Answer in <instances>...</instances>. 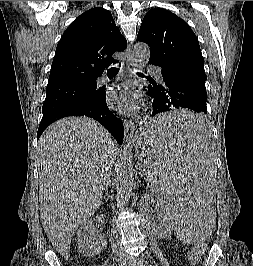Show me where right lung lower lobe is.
<instances>
[{
    "label": "right lung lower lobe",
    "mask_w": 253,
    "mask_h": 266,
    "mask_svg": "<svg viewBox=\"0 0 253 266\" xmlns=\"http://www.w3.org/2000/svg\"><path fill=\"white\" fill-rule=\"evenodd\" d=\"M101 91L103 95L98 103H96L94 106H92L89 109L83 110L81 112L69 116H87L97 120L112 134V136L117 140L119 144H122L124 136L123 122L109 110L106 104V92L105 90ZM60 118L63 117H58L57 119ZM55 120L51 122L40 123L38 128L37 138H39L43 133V131Z\"/></svg>",
    "instance_id": "right-lung-lower-lobe-1"
}]
</instances>
